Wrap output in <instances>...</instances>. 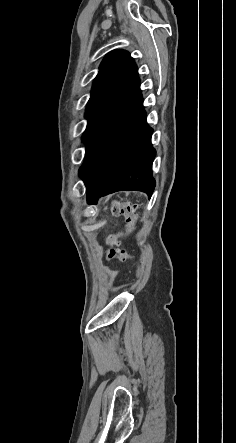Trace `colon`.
I'll return each instance as SVG.
<instances>
[{
	"mask_svg": "<svg viewBox=\"0 0 236 443\" xmlns=\"http://www.w3.org/2000/svg\"><path fill=\"white\" fill-rule=\"evenodd\" d=\"M112 213L115 215L123 214L126 218V232L111 235L108 238L109 248L106 252L108 259H118L120 261L133 260L128 252L117 246L118 240L127 236L133 229L137 218L136 205L131 202L114 201L111 206Z\"/></svg>",
	"mask_w": 236,
	"mask_h": 443,
	"instance_id": "5ec220e1",
	"label": "colon"
}]
</instances>
